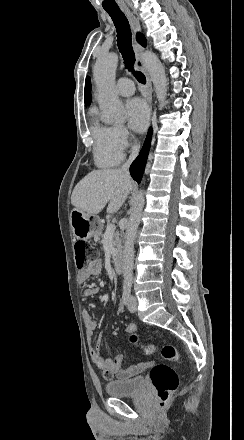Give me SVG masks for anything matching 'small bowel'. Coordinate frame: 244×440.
I'll return each instance as SVG.
<instances>
[{"mask_svg": "<svg viewBox=\"0 0 244 440\" xmlns=\"http://www.w3.org/2000/svg\"><path fill=\"white\" fill-rule=\"evenodd\" d=\"M102 270V262L100 259L92 260L89 265L80 271L79 279L82 283L89 282L93 277L100 274ZM98 293V288L91 286L84 291L85 297H93ZM86 333L88 338H91L97 329V322L91 317L88 312L83 314ZM102 337L97 339L95 348L90 349V356L95 365L101 369L109 371L112 375L116 376L121 381H126L135 378L148 369V363L139 361L131 366L125 367V356L119 355L114 359L104 358L101 354Z\"/></svg>", "mask_w": 244, "mask_h": 440, "instance_id": "c3829d8e", "label": "small bowel"}]
</instances>
